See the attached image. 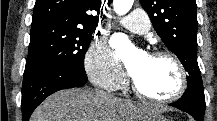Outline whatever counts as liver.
<instances>
[{"mask_svg": "<svg viewBox=\"0 0 217 121\" xmlns=\"http://www.w3.org/2000/svg\"><path fill=\"white\" fill-rule=\"evenodd\" d=\"M158 110L130 100L98 96L88 89H64L50 95L30 121H144Z\"/></svg>", "mask_w": 217, "mask_h": 121, "instance_id": "liver-1", "label": "liver"}]
</instances>
